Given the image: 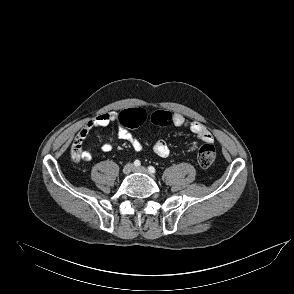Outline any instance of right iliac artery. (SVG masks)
<instances>
[{"label": "right iliac artery", "instance_id": "obj_1", "mask_svg": "<svg viewBox=\"0 0 294 294\" xmlns=\"http://www.w3.org/2000/svg\"><path fill=\"white\" fill-rule=\"evenodd\" d=\"M134 165H135L136 167H138V166H140V165H141V163H140V161H139V160H135V161H134Z\"/></svg>", "mask_w": 294, "mask_h": 294}]
</instances>
